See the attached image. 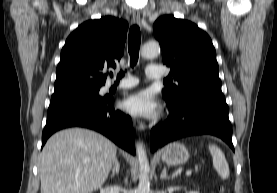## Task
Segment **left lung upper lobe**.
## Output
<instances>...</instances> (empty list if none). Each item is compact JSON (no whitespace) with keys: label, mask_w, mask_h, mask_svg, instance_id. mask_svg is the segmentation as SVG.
Returning <instances> with one entry per match:
<instances>
[{"label":"left lung upper lobe","mask_w":277,"mask_h":193,"mask_svg":"<svg viewBox=\"0 0 277 193\" xmlns=\"http://www.w3.org/2000/svg\"><path fill=\"white\" fill-rule=\"evenodd\" d=\"M154 35L159 40L163 63L178 81L162 90L167 104L178 105L199 89H221L216 51L210 37L190 21L165 15L156 20Z\"/></svg>","instance_id":"5c2ea615"}]
</instances>
